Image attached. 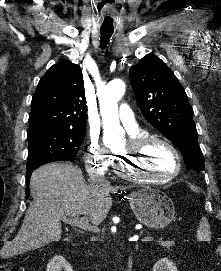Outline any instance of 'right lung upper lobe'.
<instances>
[{
  "label": "right lung upper lobe",
  "instance_id": "cb5924a9",
  "mask_svg": "<svg viewBox=\"0 0 221 271\" xmlns=\"http://www.w3.org/2000/svg\"><path fill=\"white\" fill-rule=\"evenodd\" d=\"M86 100L81 69L63 60L41 77L31 102L29 128L86 131Z\"/></svg>",
  "mask_w": 221,
  "mask_h": 271
}]
</instances>
